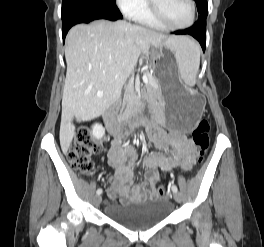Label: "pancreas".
<instances>
[{
  "mask_svg": "<svg viewBox=\"0 0 264 247\" xmlns=\"http://www.w3.org/2000/svg\"><path fill=\"white\" fill-rule=\"evenodd\" d=\"M144 75L147 76L149 80L148 83L145 85L148 100L150 102H156L157 100H160L161 89L159 86V82L155 77H153L149 73H144ZM135 100H136V96L132 88L126 89L123 99L120 101V104L122 106L121 110L122 111L124 110L123 117L126 116L131 111L135 103Z\"/></svg>",
  "mask_w": 264,
  "mask_h": 247,
  "instance_id": "obj_1",
  "label": "pancreas"
}]
</instances>
